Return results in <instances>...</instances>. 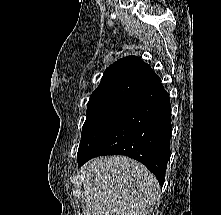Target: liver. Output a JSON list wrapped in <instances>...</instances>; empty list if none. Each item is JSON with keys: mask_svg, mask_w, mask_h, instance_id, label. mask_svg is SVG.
I'll list each match as a JSON object with an SVG mask.
<instances>
[{"mask_svg": "<svg viewBox=\"0 0 221 215\" xmlns=\"http://www.w3.org/2000/svg\"><path fill=\"white\" fill-rule=\"evenodd\" d=\"M85 215H151L160 186L140 162L126 156L99 157L82 168Z\"/></svg>", "mask_w": 221, "mask_h": 215, "instance_id": "liver-1", "label": "liver"}]
</instances>
